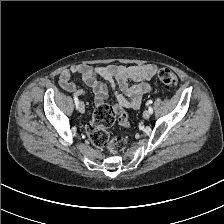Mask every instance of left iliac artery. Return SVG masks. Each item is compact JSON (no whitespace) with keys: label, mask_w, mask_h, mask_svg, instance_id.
<instances>
[{"label":"left iliac artery","mask_w":224,"mask_h":224,"mask_svg":"<svg viewBox=\"0 0 224 224\" xmlns=\"http://www.w3.org/2000/svg\"><path fill=\"white\" fill-rule=\"evenodd\" d=\"M148 104H152V100H149L148 101ZM148 110H149V112L152 114L153 113V109H152V106H149V108H148Z\"/></svg>","instance_id":"1"}]
</instances>
